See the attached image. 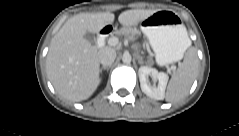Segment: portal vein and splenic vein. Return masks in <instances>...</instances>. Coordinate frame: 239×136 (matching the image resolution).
<instances>
[{"label":"portal vein and splenic vein","instance_id":"1","mask_svg":"<svg viewBox=\"0 0 239 136\" xmlns=\"http://www.w3.org/2000/svg\"><path fill=\"white\" fill-rule=\"evenodd\" d=\"M109 46H116L119 43V39L116 36H112L107 41Z\"/></svg>","mask_w":239,"mask_h":136}]
</instances>
